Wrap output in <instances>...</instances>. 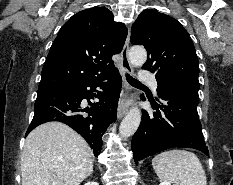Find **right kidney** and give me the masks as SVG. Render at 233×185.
Segmentation results:
<instances>
[{
    "label": "right kidney",
    "mask_w": 233,
    "mask_h": 185,
    "mask_svg": "<svg viewBox=\"0 0 233 185\" xmlns=\"http://www.w3.org/2000/svg\"><path fill=\"white\" fill-rule=\"evenodd\" d=\"M84 185H99V184L97 182L90 181L85 183Z\"/></svg>",
    "instance_id": "ca27d5eb"
}]
</instances>
